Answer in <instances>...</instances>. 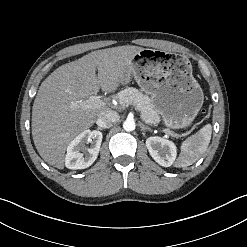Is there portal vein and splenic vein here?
I'll return each mask as SVG.
<instances>
[{
    "label": "portal vein and splenic vein",
    "instance_id": "18ae733b",
    "mask_svg": "<svg viewBox=\"0 0 247 247\" xmlns=\"http://www.w3.org/2000/svg\"><path fill=\"white\" fill-rule=\"evenodd\" d=\"M82 107L84 108H88V109H97V108H101L103 106H105V102L103 100H101L98 96L96 95H92L90 96L87 100L83 101L81 103ZM140 117L141 119L149 124L152 125V123L149 120H146L143 115L140 113ZM156 126V125H154ZM168 135H170L171 137H177V134H175L174 132L171 131H167Z\"/></svg>",
    "mask_w": 247,
    "mask_h": 247
}]
</instances>
